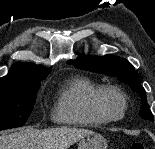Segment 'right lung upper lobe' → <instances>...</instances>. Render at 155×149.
Segmentation results:
<instances>
[{"mask_svg":"<svg viewBox=\"0 0 155 149\" xmlns=\"http://www.w3.org/2000/svg\"><path fill=\"white\" fill-rule=\"evenodd\" d=\"M50 69L32 63H16L9 70L7 76L0 78V81L8 80H31L46 76Z\"/></svg>","mask_w":155,"mask_h":149,"instance_id":"cb5924a9","label":"right lung upper lobe"}]
</instances>
